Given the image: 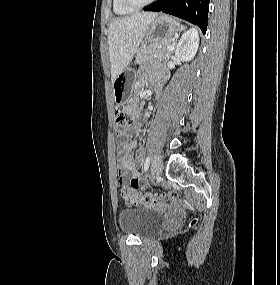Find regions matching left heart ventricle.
Wrapping results in <instances>:
<instances>
[{"label":"left heart ventricle","instance_id":"1","mask_svg":"<svg viewBox=\"0 0 280 285\" xmlns=\"http://www.w3.org/2000/svg\"><path fill=\"white\" fill-rule=\"evenodd\" d=\"M133 1H135L136 3H142V2H144L146 0H133Z\"/></svg>","mask_w":280,"mask_h":285}]
</instances>
